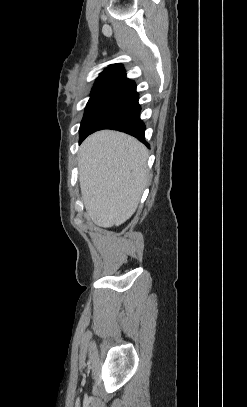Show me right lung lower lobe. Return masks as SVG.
Here are the masks:
<instances>
[{
    "label": "right lung lower lobe",
    "instance_id": "obj_1",
    "mask_svg": "<svg viewBox=\"0 0 247 407\" xmlns=\"http://www.w3.org/2000/svg\"><path fill=\"white\" fill-rule=\"evenodd\" d=\"M138 99L139 97L137 95L134 99L110 113L80 141L84 140L89 134L95 131L101 129H113L130 134L149 147L145 141V124L140 119L139 115L141 107L138 103Z\"/></svg>",
    "mask_w": 247,
    "mask_h": 407
}]
</instances>
